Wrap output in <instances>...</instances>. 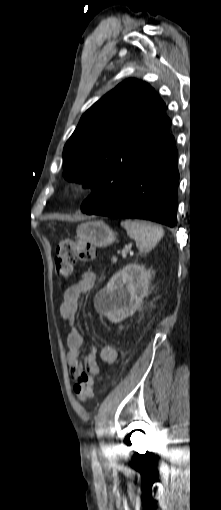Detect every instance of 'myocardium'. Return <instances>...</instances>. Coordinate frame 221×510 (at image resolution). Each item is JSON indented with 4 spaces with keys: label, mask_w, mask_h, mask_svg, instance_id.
Here are the masks:
<instances>
[{
    "label": "myocardium",
    "mask_w": 221,
    "mask_h": 510,
    "mask_svg": "<svg viewBox=\"0 0 221 510\" xmlns=\"http://www.w3.org/2000/svg\"><path fill=\"white\" fill-rule=\"evenodd\" d=\"M82 190V186L79 185V184H71L69 187H68V194L70 196H74V195H77L81 192Z\"/></svg>",
    "instance_id": "1"
}]
</instances>
